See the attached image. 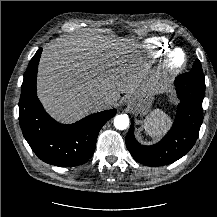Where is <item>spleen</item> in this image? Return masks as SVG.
<instances>
[{"mask_svg":"<svg viewBox=\"0 0 217 217\" xmlns=\"http://www.w3.org/2000/svg\"><path fill=\"white\" fill-rule=\"evenodd\" d=\"M170 124L171 118L163 111L157 109L146 118L144 129L149 136L159 138L167 132Z\"/></svg>","mask_w":217,"mask_h":217,"instance_id":"spleen-1","label":"spleen"}]
</instances>
